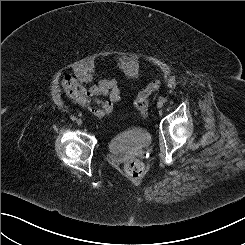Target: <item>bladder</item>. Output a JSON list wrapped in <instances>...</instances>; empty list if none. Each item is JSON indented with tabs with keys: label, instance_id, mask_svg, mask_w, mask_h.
I'll return each instance as SVG.
<instances>
[{
	"label": "bladder",
	"instance_id": "bladder-1",
	"mask_svg": "<svg viewBox=\"0 0 245 245\" xmlns=\"http://www.w3.org/2000/svg\"><path fill=\"white\" fill-rule=\"evenodd\" d=\"M150 133L143 127L123 128L109 138V149L115 155H131L151 143Z\"/></svg>",
	"mask_w": 245,
	"mask_h": 245
}]
</instances>
